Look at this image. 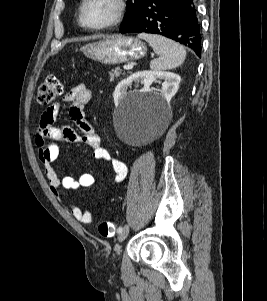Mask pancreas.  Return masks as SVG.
I'll use <instances>...</instances> for the list:
<instances>
[{
  "label": "pancreas",
  "mask_w": 267,
  "mask_h": 301,
  "mask_svg": "<svg viewBox=\"0 0 267 301\" xmlns=\"http://www.w3.org/2000/svg\"><path fill=\"white\" fill-rule=\"evenodd\" d=\"M121 74H122V72H121V69L119 67H117L114 70H112L111 72H109L111 81H113L114 79L119 78Z\"/></svg>",
  "instance_id": "cf45deb5"
}]
</instances>
